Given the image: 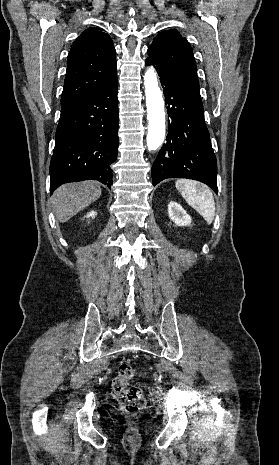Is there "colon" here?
Here are the masks:
<instances>
[{"label": "colon", "mask_w": 279, "mask_h": 465, "mask_svg": "<svg viewBox=\"0 0 279 465\" xmlns=\"http://www.w3.org/2000/svg\"><path fill=\"white\" fill-rule=\"evenodd\" d=\"M137 375L141 374L130 364L123 362L119 365L118 374L112 383L116 400L128 414H137L146 406V398L142 389L130 384V381Z\"/></svg>", "instance_id": "obj_1"}]
</instances>
